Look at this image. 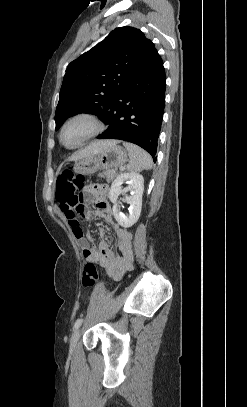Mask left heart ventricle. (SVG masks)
<instances>
[{
	"instance_id": "b2bd125f",
	"label": "left heart ventricle",
	"mask_w": 247,
	"mask_h": 407,
	"mask_svg": "<svg viewBox=\"0 0 247 407\" xmlns=\"http://www.w3.org/2000/svg\"><path fill=\"white\" fill-rule=\"evenodd\" d=\"M92 125L85 119L75 120L70 123L63 133V142L66 145H75L80 142L90 131Z\"/></svg>"
}]
</instances>
